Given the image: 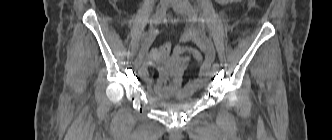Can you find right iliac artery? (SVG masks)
I'll return each instance as SVG.
<instances>
[{
  "label": "right iliac artery",
  "mask_w": 332,
  "mask_h": 140,
  "mask_svg": "<svg viewBox=\"0 0 332 140\" xmlns=\"http://www.w3.org/2000/svg\"><path fill=\"white\" fill-rule=\"evenodd\" d=\"M166 7L164 8H160L157 10V12L154 14L153 18L151 19V24H158L162 21L163 17L165 16L166 14ZM152 33V30L150 29L148 32H146L142 39H141V43H140V46H141V50L145 53L147 52L148 50V46H147V43H148V40H149V37Z\"/></svg>",
  "instance_id": "82829eb1"
}]
</instances>
